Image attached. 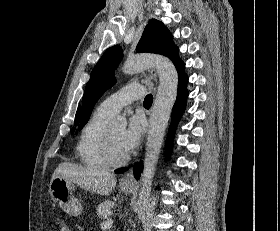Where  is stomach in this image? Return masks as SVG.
<instances>
[{"instance_id":"0dacf381","label":"stomach","mask_w":280,"mask_h":231,"mask_svg":"<svg viewBox=\"0 0 280 231\" xmlns=\"http://www.w3.org/2000/svg\"><path fill=\"white\" fill-rule=\"evenodd\" d=\"M76 189L75 183L68 181L65 177H53L49 185V193L57 203H59L61 209L66 211L68 215H80L82 213L81 201L74 195ZM124 193H131L132 185H121Z\"/></svg>"}]
</instances>
